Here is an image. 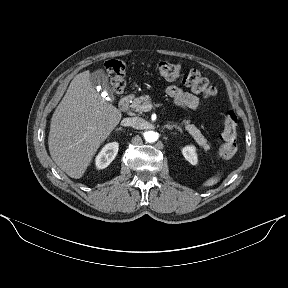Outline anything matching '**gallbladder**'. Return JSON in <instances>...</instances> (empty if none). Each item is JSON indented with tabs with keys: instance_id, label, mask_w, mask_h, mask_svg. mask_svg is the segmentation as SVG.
<instances>
[{
	"instance_id": "1",
	"label": "gallbladder",
	"mask_w": 288,
	"mask_h": 288,
	"mask_svg": "<svg viewBox=\"0 0 288 288\" xmlns=\"http://www.w3.org/2000/svg\"><path fill=\"white\" fill-rule=\"evenodd\" d=\"M90 81L94 85H100L104 90H110L108 77L103 69H98L90 75Z\"/></svg>"
}]
</instances>
